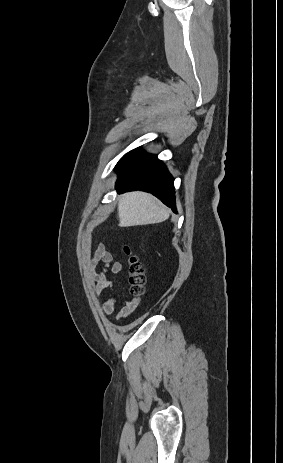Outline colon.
Listing matches in <instances>:
<instances>
[{
    "label": "colon",
    "mask_w": 283,
    "mask_h": 463,
    "mask_svg": "<svg viewBox=\"0 0 283 463\" xmlns=\"http://www.w3.org/2000/svg\"><path fill=\"white\" fill-rule=\"evenodd\" d=\"M129 254V284L130 294L135 302H138L145 291L146 271L143 263L126 248Z\"/></svg>",
    "instance_id": "1"
}]
</instances>
